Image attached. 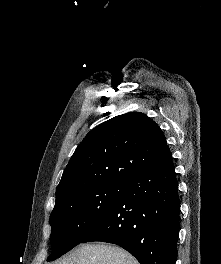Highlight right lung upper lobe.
Returning a JSON list of instances; mask_svg holds the SVG:
<instances>
[{"mask_svg": "<svg viewBox=\"0 0 221 264\" xmlns=\"http://www.w3.org/2000/svg\"><path fill=\"white\" fill-rule=\"evenodd\" d=\"M172 161L159 126L140 112L116 116L92 129L76 148L56 189V204L107 182H126Z\"/></svg>", "mask_w": 221, "mask_h": 264, "instance_id": "obj_1", "label": "right lung upper lobe"}]
</instances>
